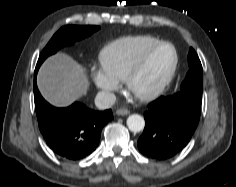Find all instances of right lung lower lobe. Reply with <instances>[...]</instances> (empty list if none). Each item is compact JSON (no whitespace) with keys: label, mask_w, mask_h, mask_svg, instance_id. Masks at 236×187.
<instances>
[{"label":"right lung lower lobe","mask_w":236,"mask_h":187,"mask_svg":"<svg viewBox=\"0 0 236 187\" xmlns=\"http://www.w3.org/2000/svg\"><path fill=\"white\" fill-rule=\"evenodd\" d=\"M34 73V102L39 129L49 147L61 158L78 161L97 147L101 130L113 119L111 110L95 111L75 102L67 108H56L41 96Z\"/></svg>","instance_id":"1"}]
</instances>
